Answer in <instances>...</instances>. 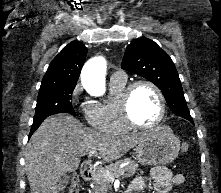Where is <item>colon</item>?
<instances>
[{"label":"colon","instance_id":"5ec220e1","mask_svg":"<svg viewBox=\"0 0 221 193\" xmlns=\"http://www.w3.org/2000/svg\"><path fill=\"white\" fill-rule=\"evenodd\" d=\"M188 149L189 145L187 143H183L182 150L187 151ZM69 193H79V180L76 176L72 177Z\"/></svg>","mask_w":221,"mask_h":193}]
</instances>
